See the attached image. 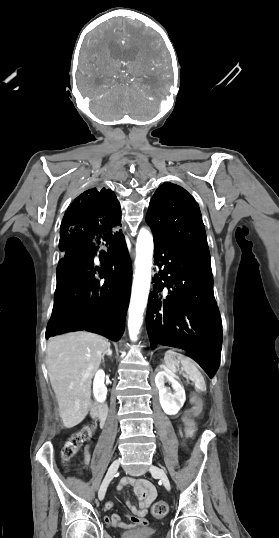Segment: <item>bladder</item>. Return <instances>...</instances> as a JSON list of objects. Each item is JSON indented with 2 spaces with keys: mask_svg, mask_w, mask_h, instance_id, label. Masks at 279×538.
<instances>
[{
  "mask_svg": "<svg viewBox=\"0 0 279 538\" xmlns=\"http://www.w3.org/2000/svg\"><path fill=\"white\" fill-rule=\"evenodd\" d=\"M122 538H155L153 532H124Z\"/></svg>",
  "mask_w": 279,
  "mask_h": 538,
  "instance_id": "1",
  "label": "bladder"
}]
</instances>
